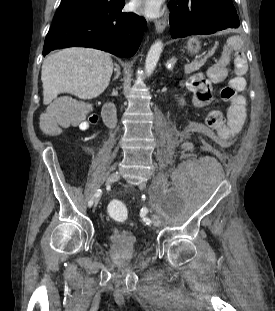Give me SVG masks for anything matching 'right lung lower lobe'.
<instances>
[{"label":"right lung lower lobe","mask_w":275,"mask_h":311,"mask_svg":"<svg viewBox=\"0 0 275 311\" xmlns=\"http://www.w3.org/2000/svg\"><path fill=\"white\" fill-rule=\"evenodd\" d=\"M123 0L107 8L54 20L45 38L43 55L66 47H90L116 56L134 55L142 40L146 20L134 13H122Z\"/></svg>","instance_id":"98d812e1"}]
</instances>
